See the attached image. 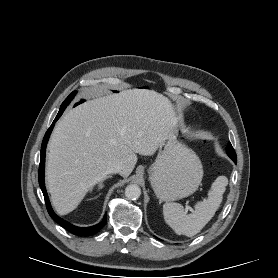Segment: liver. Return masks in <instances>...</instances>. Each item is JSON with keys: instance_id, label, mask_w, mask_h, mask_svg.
I'll return each mask as SVG.
<instances>
[{"instance_id": "obj_1", "label": "liver", "mask_w": 278, "mask_h": 278, "mask_svg": "<svg viewBox=\"0 0 278 278\" xmlns=\"http://www.w3.org/2000/svg\"><path fill=\"white\" fill-rule=\"evenodd\" d=\"M177 118L170 100L147 89H129L86 101L58 122L48 145L46 182L56 211L72 212L89 190L120 161L122 177L137 154L153 155L175 133Z\"/></svg>"}]
</instances>
